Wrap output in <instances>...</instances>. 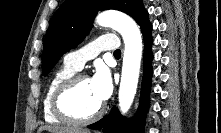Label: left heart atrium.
I'll return each mask as SVG.
<instances>
[{"label": "left heart atrium", "mask_w": 221, "mask_h": 133, "mask_svg": "<svg viewBox=\"0 0 221 133\" xmlns=\"http://www.w3.org/2000/svg\"><path fill=\"white\" fill-rule=\"evenodd\" d=\"M90 80L96 97L101 102L106 101L113 90L111 76L108 69L104 66L98 67Z\"/></svg>", "instance_id": "obj_1"}]
</instances>
